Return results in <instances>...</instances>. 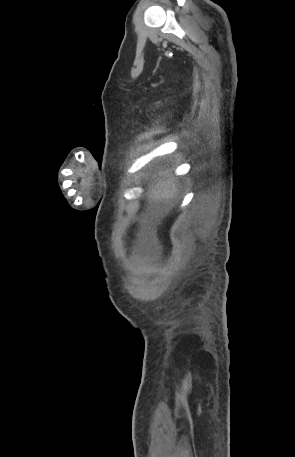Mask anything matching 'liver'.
<instances>
[{"instance_id":"obj_1","label":"liver","mask_w":295,"mask_h":457,"mask_svg":"<svg viewBox=\"0 0 295 457\" xmlns=\"http://www.w3.org/2000/svg\"><path fill=\"white\" fill-rule=\"evenodd\" d=\"M160 174H163L161 172ZM178 193V185L175 179L167 176L166 179L157 180L148 191V197L150 202H156L158 200H169L172 199Z\"/></svg>"}]
</instances>
